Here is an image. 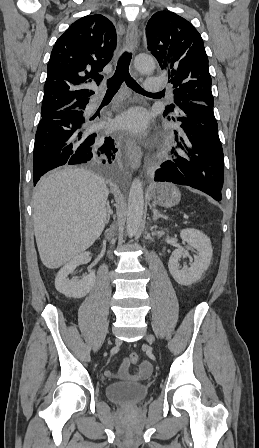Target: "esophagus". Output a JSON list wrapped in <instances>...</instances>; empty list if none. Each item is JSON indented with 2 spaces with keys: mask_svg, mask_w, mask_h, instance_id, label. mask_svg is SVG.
<instances>
[{
  "mask_svg": "<svg viewBox=\"0 0 259 448\" xmlns=\"http://www.w3.org/2000/svg\"><path fill=\"white\" fill-rule=\"evenodd\" d=\"M138 44V28L134 22L128 24L126 33V46L129 50H136ZM126 155L129 160L131 169L137 170L141 163L142 150L134 140L128 138L126 141Z\"/></svg>",
  "mask_w": 259,
  "mask_h": 448,
  "instance_id": "esophagus-1",
  "label": "esophagus"
}]
</instances>
